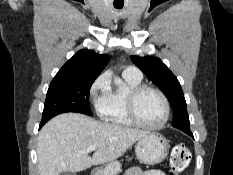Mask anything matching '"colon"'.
<instances>
[{"mask_svg":"<svg viewBox=\"0 0 233 175\" xmlns=\"http://www.w3.org/2000/svg\"><path fill=\"white\" fill-rule=\"evenodd\" d=\"M191 160L190 149L185 144L173 146L169 160V175H179L189 165Z\"/></svg>","mask_w":233,"mask_h":175,"instance_id":"5ec220e1","label":"colon"}]
</instances>
